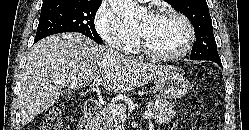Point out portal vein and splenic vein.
<instances>
[{
    "label": "portal vein and splenic vein",
    "mask_w": 249,
    "mask_h": 130,
    "mask_svg": "<svg viewBox=\"0 0 249 130\" xmlns=\"http://www.w3.org/2000/svg\"><path fill=\"white\" fill-rule=\"evenodd\" d=\"M101 82L102 80H94L93 81V84L96 86V87H99L101 85ZM109 109H110V112L114 115V116H117L121 121H124L126 119V115H125V112L120 108L118 107L117 105L115 104H109ZM152 115V111L151 110H147L143 113V118H150Z\"/></svg>",
    "instance_id": "obj_1"
}]
</instances>
